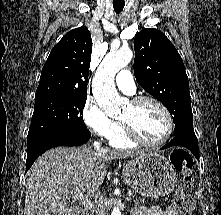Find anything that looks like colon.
<instances>
[{
    "instance_id": "colon-1",
    "label": "colon",
    "mask_w": 221,
    "mask_h": 215,
    "mask_svg": "<svg viewBox=\"0 0 221 215\" xmlns=\"http://www.w3.org/2000/svg\"><path fill=\"white\" fill-rule=\"evenodd\" d=\"M170 158L173 166L181 175L180 184L173 200V207L179 215H193L194 201L190 195L193 158L184 149L173 150Z\"/></svg>"
}]
</instances>
